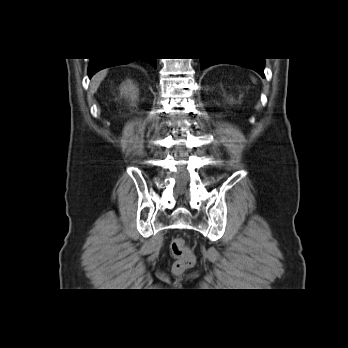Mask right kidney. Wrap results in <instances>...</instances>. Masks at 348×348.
I'll return each mask as SVG.
<instances>
[{
    "label": "right kidney",
    "mask_w": 348,
    "mask_h": 348,
    "mask_svg": "<svg viewBox=\"0 0 348 348\" xmlns=\"http://www.w3.org/2000/svg\"><path fill=\"white\" fill-rule=\"evenodd\" d=\"M120 94L127 99L128 102H131V106H136V101L139 98V89L132 80L128 79L120 85Z\"/></svg>",
    "instance_id": "right-kidney-1"
}]
</instances>
